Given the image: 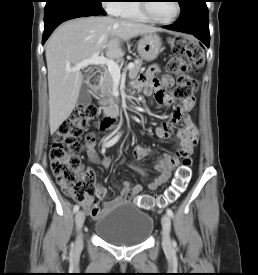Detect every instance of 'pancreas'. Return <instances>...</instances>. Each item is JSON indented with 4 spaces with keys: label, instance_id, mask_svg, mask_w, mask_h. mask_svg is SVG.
Listing matches in <instances>:
<instances>
[{
    "label": "pancreas",
    "instance_id": "1",
    "mask_svg": "<svg viewBox=\"0 0 258 275\" xmlns=\"http://www.w3.org/2000/svg\"><path fill=\"white\" fill-rule=\"evenodd\" d=\"M133 64H134V67L129 70L130 79L136 78L142 66V59L140 58L135 59ZM112 89H113V77L109 71H106L104 73L103 81L99 86V90H100L99 103L101 105L114 100Z\"/></svg>",
    "mask_w": 258,
    "mask_h": 275
}]
</instances>
